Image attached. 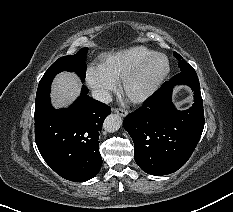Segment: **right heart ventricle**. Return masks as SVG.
Masks as SVG:
<instances>
[{
  "instance_id": "e07e8e85",
  "label": "right heart ventricle",
  "mask_w": 233,
  "mask_h": 212,
  "mask_svg": "<svg viewBox=\"0 0 233 212\" xmlns=\"http://www.w3.org/2000/svg\"><path fill=\"white\" fill-rule=\"evenodd\" d=\"M145 46H132L106 54L101 59V66L117 82L146 57L154 54Z\"/></svg>"
}]
</instances>
